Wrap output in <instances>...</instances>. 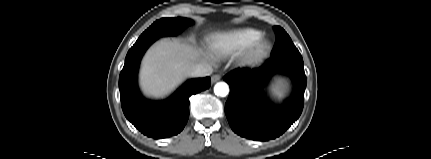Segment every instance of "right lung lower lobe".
<instances>
[{
    "label": "right lung lower lobe",
    "instance_id": "obj_1",
    "mask_svg": "<svg viewBox=\"0 0 431 159\" xmlns=\"http://www.w3.org/2000/svg\"><path fill=\"white\" fill-rule=\"evenodd\" d=\"M156 39L136 41L127 53L120 73L119 89L125 117L144 135L162 139L180 133L189 117V97L210 87V77L187 81L170 98L150 101L137 86L140 60Z\"/></svg>",
    "mask_w": 431,
    "mask_h": 159
}]
</instances>
